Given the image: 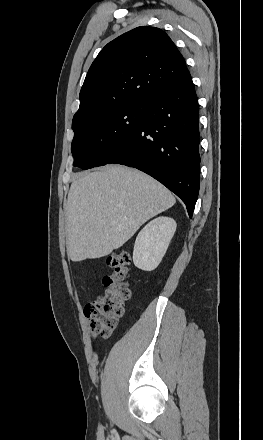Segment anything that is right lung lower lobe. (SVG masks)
<instances>
[{"mask_svg":"<svg viewBox=\"0 0 263 440\" xmlns=\"http://www.w3.org/2000/svg\"><path fill=\"white\" fill-rule=\"evenodd\" d=\"M145 117L107 164L137 168L157 179L193 215L199 193V105L189 74L145 101Z\"/></svg>","mask_w":263,"mask_h":440,"instance_id":"obj_1","label":"right lung lower lobe"}]
</instances>
